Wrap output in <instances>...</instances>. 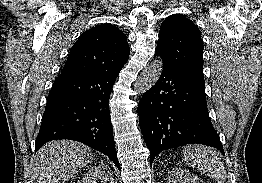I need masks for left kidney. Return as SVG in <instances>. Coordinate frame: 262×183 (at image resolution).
<instances>
[{
  "mask_svg": "<svg viewBox=\"0 0 262 183\" xmlns=\"http://www.w3.org/2000/svg\"><path fill=\"white\" fill-rule=\"evenodd\" d=\"M168 183H204L198 176L181 167L168 172Z\"/></svg>",
  "mask_w": 262,
  "mask_h": 183,
  "instance_id": "5707ae66",
  "label": "left kidney"
}]
</instances>
